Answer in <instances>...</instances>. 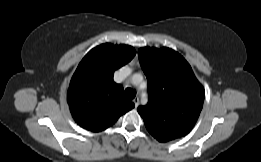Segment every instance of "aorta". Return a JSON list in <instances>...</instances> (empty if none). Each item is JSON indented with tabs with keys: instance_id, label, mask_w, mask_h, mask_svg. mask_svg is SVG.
<instances>
[{
	"instance_id": "762f6f07",
	"label": "aorta",
	"mask_w": 261,
	"mask_h": 162,
	"mask_svg": "<svg viewBox=\"0 0 261 162\" xmlns=\"http://www.w3.org/2000/svg\"><path fill=\"white\" fill-rule=\"evenodd\" d=\"M134 77H141V75H139V74H136V75H134Z\"/></svg>"
}]
</instances>
